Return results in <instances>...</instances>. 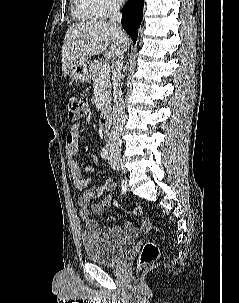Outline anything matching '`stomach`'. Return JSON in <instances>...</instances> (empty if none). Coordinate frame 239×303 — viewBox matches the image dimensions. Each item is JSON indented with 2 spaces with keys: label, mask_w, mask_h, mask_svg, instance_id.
Listing matches in <instances>:
<instances>
[{
  "label": "stomach",
  "mask_w": 239,
  "mask_h": 303,
  "mask_svg": "<svg viewBox=\"0 0 239 303\" xmlns=\"http://www.w3.org/2000/svg\"><path fill=\"white\" fill-rule=\"evenodd\" d=\"M87 60H80L72 63L67 70V74L73 81L87 82L90 79Z\"/></svg>",
  "instance_id": "obj_1"
}]
</instances>
